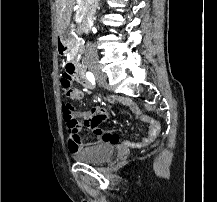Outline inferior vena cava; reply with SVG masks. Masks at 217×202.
<instances>
[{
    "label": "inferior vena cava",
    "mask_w": 217,
    "mask_h": 202,
    "mask_svg": "<svg viewBox=\"0 0 217 202\" xmlns=\"http://www.w3.org/2000/svg\"><path fill=\"white\" fill-rule=\"evenodd\" d=\"M85 8H86V14L84 18V26L86 28H89L91 20H93V14L98 6V0H84ZM85 56H88V58H94V56H97L96 50H93L90 42H87L85 46Z\"/></svg>",
    "instance_id": "inferior-vena-cava-1"
}]
</instances>
